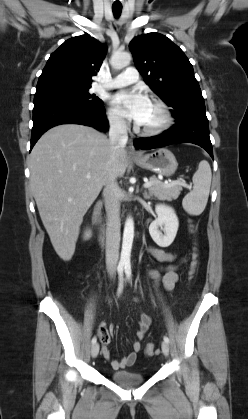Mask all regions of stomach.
I'll use <instances>...</instances> for the list:
<instances>
[{
  "mask_svg": "<svg viewBox=\"0 0 248 419\" xmlns=\"http://www.w3.org/2000/svg\"><path fill=\"white\" fill-rule=\"evenodd\" d=\"M133 161L141 168L163 176H171L178 166L174 154L166 148H160Z\"/></svg>",
  "mask_w": 248,
  "mask_h": 419,
  "instance_id": "0dacf381",
  "label": "stomach"
}]
</instances>
